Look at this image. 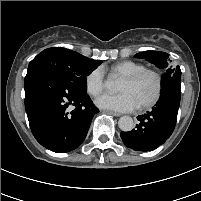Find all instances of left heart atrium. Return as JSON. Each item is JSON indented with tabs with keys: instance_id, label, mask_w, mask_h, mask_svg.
I'll return each mask as SVG.
<instances>
[{
	"instance_id": "1",
	"label": "left heart atrium",
	"mask_w": 201,
	"mask_h": 201,
	"mask_svg": "<svg viewBox=\"0 0 201 201\" xmlns=\"http://www.w3.org/2000/svg\"><path fill=\"white\" fill-rule=\"evenodd\" d=\"M96 105L101 109L115 112H129L138 106L127 92L104 94L96 100Z\"/></svg>"
}]
</instances>
